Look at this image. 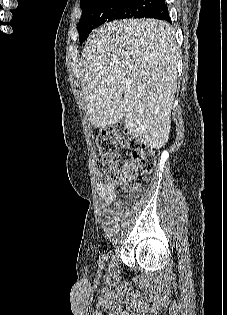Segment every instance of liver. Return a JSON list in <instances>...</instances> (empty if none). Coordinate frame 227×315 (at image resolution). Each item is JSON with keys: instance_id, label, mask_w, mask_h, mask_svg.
I'll return each instance as SVG.
<instances>
[{"instance_id": "obj_1", "label": "liver", "mask_w": 227, "mask_h": 315, "mask_svg": "<svg viewBox=\"0 0 227 315\" xmlns=\"http://www.w3.org/2000/svg\"><path fill=\"white\" fill-rule=\"evenodd\" d=\"M82 58L81 90L91 124L104 128L125 117L133 137L163 147L169 140L178 74L170 24L155 19L106 23L91 34Z\"/></svg>"}]
</instances>
